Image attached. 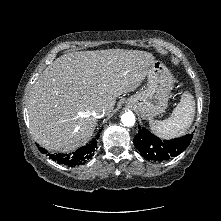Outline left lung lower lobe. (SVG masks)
I'll return each instance as SVG.
<instances>
[{"label": "left lung lower lobe", "instance_id": "left-lung-lower-lobe-1", "mask_svg": "<svg viewBox=\"0 0 221 221\" xmlns=\"http://www.w3.org/2000/svg\"><path fill=\"white\" fill-rule=\"evenodd\" d=\"M192 135L188 134L172 140H160L145 128H139L133 142L141 156L153 161H164L176 157L190 144Z\"/></svg>", "mask_w": 221, "mask_h": 221}]
</instances>
